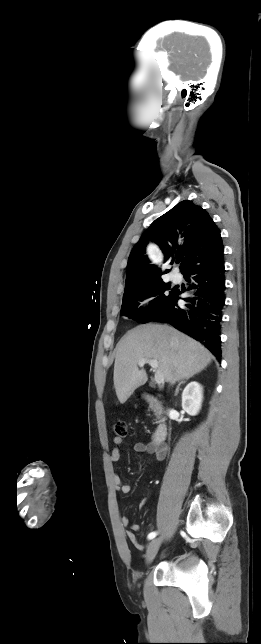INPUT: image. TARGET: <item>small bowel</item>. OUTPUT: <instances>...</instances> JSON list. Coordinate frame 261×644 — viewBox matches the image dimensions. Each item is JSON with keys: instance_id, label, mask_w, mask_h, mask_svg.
<instances>
[{"instance_id": "c3829d8e", "label": "small bowel", "mask_w": 261, "mask_h": 644, "mask_svg": "<svg viewBox=\"0 0 261 644\" xmlns=\"http://www.w3.org/2000/svg\"><path fill=\"white\" fill-rule=\"evenodd\" d=\"M122 443H123L122 438H119V437L114 438L115 447L112 449L110 453L111 461L117 462L120 460V457H121L120 447ZM133 450L139 454L154 455L158 461H162L166 456V447L164 445L137 442L134 444ZM113 482L117 491L123 494H129L131 492L130 484L124 482L121 479L119 474L114 473ZM147 503H148V498L143 499L139 504V508L145 507ZM121 524L124 527L128 528L125 531L126 538L135 546L136 549L143 550L144 548L143 545L138 542L135 535V533L140 529L139 525L135 523L130 524L129 519L126 516L121 517Z\"/></svg>"}]
</instances>
